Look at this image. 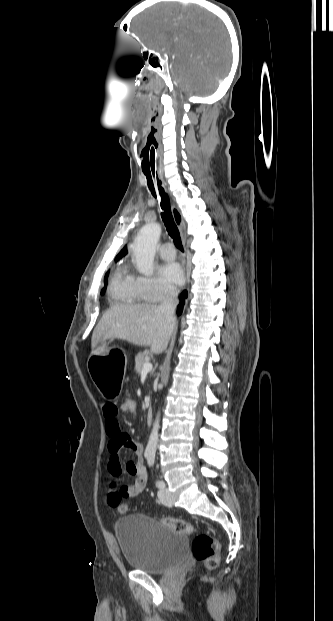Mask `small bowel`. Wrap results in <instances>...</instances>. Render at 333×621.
<instances>
[{
	"instance_id": "obj_1",
	"label": "small bowel",
	"mask_w": 333,
	"mask_h": 621,
	"mask_svg": "<svg viewBox=\"0 0 333 621\" xmlns=\"http://www.w3.org/2000/svg\"><path fill=\"white\" fill-rule=\"evenodd\" d=\"M122 411L120 406L112 402L105 403L102 407L105 431L109 438L108 451L110 458L108 461V471L111 477L107 501L111 507L117 506L126 498H133L141 494L147 484V472L143 466V445L134 440L129 434L123 432L118 421V414ZM123 449L132 450L135 460L122 463L119 452ZM128 474L134 480L131 484H119V477Z\"/></svg>"
}]
</instances>
